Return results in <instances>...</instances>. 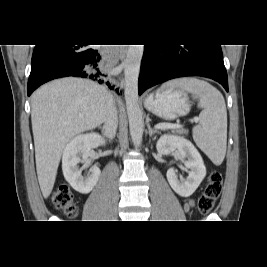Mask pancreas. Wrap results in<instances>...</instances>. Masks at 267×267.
Masks as SVG:
<instances>
[{"label": "pancreas", "mask_w": 267, "mask_h": 267, "mask_svg": "<svg viewBox=\"0 0 267 267\" xmlns=\"http://www.w3.org/2000/svg\"><path fill=\"white\" fill-rule=\"evenodd\" d=\"M172 132H176L178 134H187L188 133V130H185V129H177V130L172 131Z\"/></svg>", "instance_id": "obj_1"}]
</instances>
